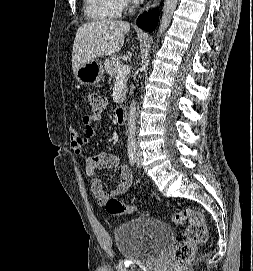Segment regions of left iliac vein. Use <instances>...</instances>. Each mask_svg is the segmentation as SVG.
<instances>
[{
	"instance_id": "left-iliac-vein-1",
	"label": "left iliac vein",
	"mask_w": 253,
	"mask_h": 271,
	"mask_svg": "<svg viewBox=\"0 0 253 271\" xmlns=\"http://www.w3.org/2000/svg\"><path fill=\"white\" fill-rule=\"evenodd\" d=\"M137 166L142 167V152L139 147H137Z\"/></svg>"
}]
</instances>
